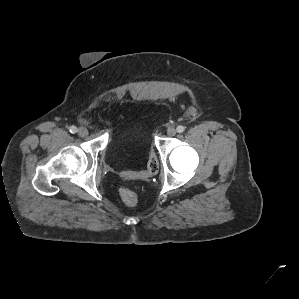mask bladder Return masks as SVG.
I'll return each mask as SVG.
<instances>
[{
    "mask_svg": "<svg viewBox=\"0 0 299 299\" xmlns=\"http://www.w3.org/2000/svg\"><path fill=\"white\" fill-rule=\"evenodd\" d=\"M123 144H126L132 151L141 150L145 145L144 136L140 132H134L131 134L116 132L109 143V148L119 151Z\"/></svg>",
    "mask_w": 299,
    "mask_h": 299,
    "instance_id": "obj_1",
    "label": "bladder"
}]
</instances>
